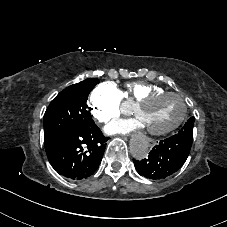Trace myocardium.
<instances>
[{"label":"myocardium","mask_w":227,"mask_h":227,"mask_svg":"<svg viewBox=\"0 0 227 227\" xmlns=\"http://www.w3.org/2000/svg\"><path fill=\"white\" fill-rule=\"evenodd\" d=\"M164 95H171L174 96L176 98H178L180 100V102L182 103L183 106V111L181 116L179 117V119L168 129L163 130V131H147V133L150 136H154V137H163L166 136L172 132H174L175 130H177L182 123L185 121L186 117H187V113H188V106H187V101L186 98L179 92L176 91H158V92H154V93H150L147 94L145 96H143L142 98H140L139 100L136 101L135 103V107H140L141 105L147 104L161 96ZM136 117V116H135Z\"/></svg>","instance_id":"1"}]
</instances>
